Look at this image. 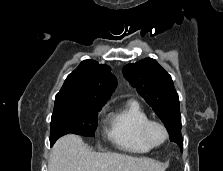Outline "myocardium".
Listing matches in <instances>:
<instances>
[{
  "label": "myocardium",
  "mask_w": 223,
  "mask_h": 171,
  "mask_svg": "<svg viewBox=\"0 0 223 171\" xmlns=\"http://www.w3.org/2000/svg\"><path fill=\"white\" fill-rule=\"evenodd\" d=\"M153 127H159L162 131H163V134H164V138L161 142H155L152 137H151V130ZM142 134H143V137L145 139V141L153 148V147H160L162 146L163 144L166 143V141L168 140L169 138V132H168V129L167 127L160 121H157V120H149L145 123V125L143 126V129H142Z\"/></svg>",
  "instance_id": "myocardium-1"
}]
</instances>
